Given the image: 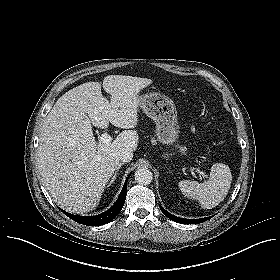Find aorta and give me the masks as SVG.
<instances>
[{
  "label": "aorta",
  "instance_id": "aorta-1",
  "mask_svg": "<svg viewBox=\"0 0 280 280\" xmlns=\"http://www.w3.org/2000/svg\"><path fill=\"white\" fill-rule=\"evenodd\" d=\"M134 177L135 181L141 185L150 184L153 179L152 172L146 167L138 168L134 174Z\"/></svg>",
  "mask_w": 280,
  "mask_h": 280
}]
</instances>
